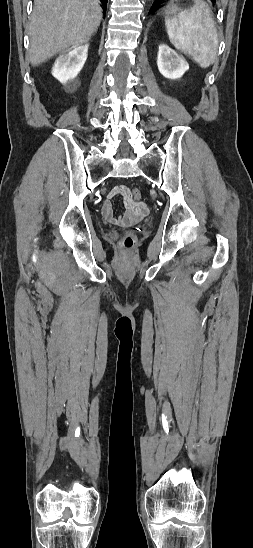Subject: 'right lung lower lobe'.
<instances>
[{"instance_id":"1","label":"right lung lower lobe","mask_w":253,"mask_h":548,"mask_svg":"<svg viewBox=\"0 0 253 548\" xmlns=\"http://www.w3.org/2000/svg\"><path fill=\"white\" fill-rule=\"evenodd\" d=\"M101 1H102V3H103L104 9H106V7H107V0H101Z\"/></svg>"}]
</instances>
